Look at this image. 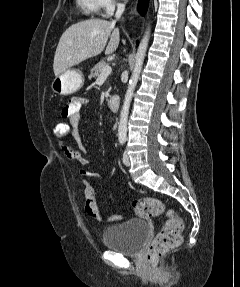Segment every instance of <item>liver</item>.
Returning <instances> with one entry per match:
<instances>
[{"label":"liver","mask_w":240,"mask_h":287,"mask_svg":"<svg viewBox=\"0 0 240 287\" xmlns=\"http://www.w3.org/2000/svg\"><path fill=\"white\" fill-rule=\"evenodd\" d=\"M108 38H110L108 42ZM120 41V32L115 22L104 19H89L71 25L62 34L54 56L53 70L59 76L68 68L100 54L113 53Z\"/></svg>","instance_id":"obj_1"}]
</instances>
